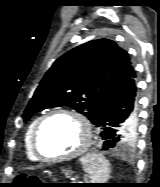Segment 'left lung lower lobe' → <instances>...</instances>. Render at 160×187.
Listing matches in <instances>:
<instances>
[{
  "mask_svg": "<svg viewBox=\"0 0 160 187\" xmlns=\"http://www.w3.org/2000/svg\"><path fill=\"white\" fill-rule=\"evenodd\" d=\"M133 70L130 78L103 101L94 125L99 128L102 140L101 149L128 147L122 144L130 137L137 125V87Z\"/></svg>",
  "mask_w": 160,
  "mask_h": 187,
  "instance_id": "1",
  "label": "left lung lower lobe"
}]
</instances>
